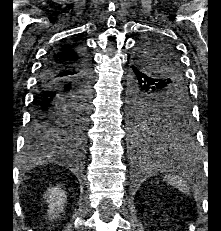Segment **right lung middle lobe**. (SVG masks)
<instances>
[{
    "mask_svg": "<svg viewBox=\"0 0 221 231\" xmlns=\"http://www.w3.org/2000/svg\"><path fill=\"white\" fill-rule=\"evenodd\" d=\"M90 103L77 95L67 102L61 117L63 129L77 144H84Z\"/></svg>",
    "mask_w": 221,
    "mask_h": 231,
    "instance_id": "1",
    "label": "right lung middle lobe"
}]
</instances>
